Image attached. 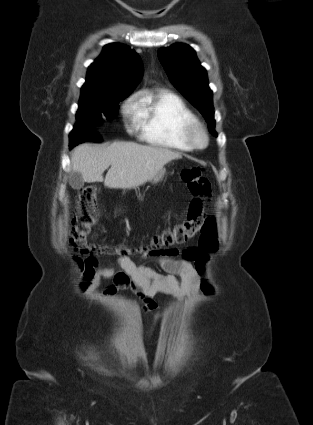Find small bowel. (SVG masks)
<instances>
[{
	"label": "small bowel",
	"mask_w": 313,
	"mask_h": 425,
	"mask_svg": "<svg viewBox=\"0 0 313 425\" xmlns=\"http://www.w3.org/2000/svg\"><path fill=\"white\" fill-rule=\"evenodd\" d=\"M120 248H126L121 245ZM178 250H168L159 254L143 253L142 259L157 257L158 265L164 273L135 263L129 256H121L118 264L121 271L116 272L113 268H100L96 271L88 269L85 288L87 291H94L104 278H112L113 283L103 292L104 295H114L125 289L131 290L142 302L143 312H150L157 309L158 304L155 296L165 294L175 297H186L198 290L199 273L192 262L181 259L175 260ZM95 265V264H94ZM161 315L156 313L153 319V326L160 320Z\"/></svg>",
	"instance_id": "small-bowel-1"
}]
</instances>
